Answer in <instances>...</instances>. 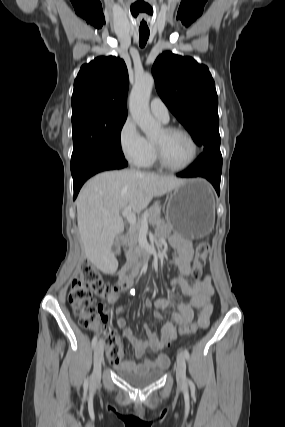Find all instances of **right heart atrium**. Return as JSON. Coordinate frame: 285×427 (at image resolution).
Here are the masks:
<instances>
[{"label":"right heart atrium","instance_id":"right-heart-atrium-1","mask_svg":"<svg viewBox=\"0 0 285 427\" xmlns=\"http://www.w3.org/2000/svg\"><path fill=\"white\" fill-rule=\"evenodd\" d=\"M119 146L124 158L132 165L140 166L150 151V142L141 133L136 122L128 117L119 130Z\"/></svg>","mask_w":285,"mask_h":427}]
</instances>
